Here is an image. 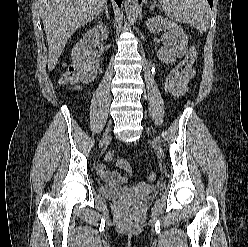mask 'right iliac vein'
<instances>
[{
  "mask_svg": "<svg viewBox=\"0 0 248 247\" xmlns=\"http://www.w3.org/2000/svg\"><path fill=\"white\" fill-rule=\"evenodd\" d=\"M109 139H110V134H109V133H106L105 136H104L103 139H102V142L105 143V142H107Z\"/></svg>",
  "mask_w": 248,
  "mask_h": 247,
  "instance_id": "63e3f726",
  "label": "right iliac vein"
}]
</instances>
